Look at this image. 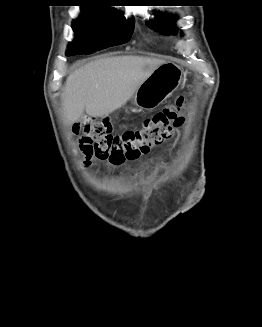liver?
Returning <instances> with one entry per match:
<instances>
[{
    "mask_svg": "<svg viewBox=\"0 0 262 327\" xmlns=\"http://www.w3.org/2000/svg\"><path fill=\"white\" fill-rule=\"evenodd\" d=\"M164 60L142 56H116L92 61L71 73L65 83L62 105L67 124L84 111L104 117L119 109Z\"/></svg>",
    "mask_w": 262,
    "mask_h": 327,
    "instance_id": "liver-1",
    "label": "liver"
}]
</instances>
